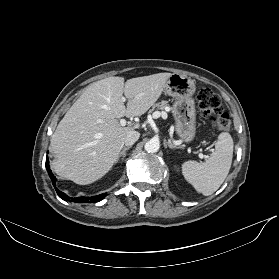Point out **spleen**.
Segmentation results:
<instances>
[{
    "label": "spleen",
    "mask_w": 279,
    "mask_h": 279,
    "mask_svg": "<svg viewBox=\"0 0 279 279\" xmlns=\"http://www.w3.org/2000/svg\"><path fill=\"white\" fill-rule=\"evenodd\" d=\"M233 139L227 132H222L215 142V150L205 162L194 160L182 164L184 178L204 196L213 194L226 179L233 158Z\"/></svg>",
    "instance_id": "obj_1"
}]
</instances>
